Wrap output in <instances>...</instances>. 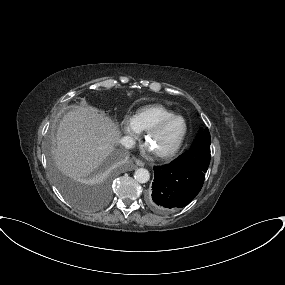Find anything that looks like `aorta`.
Masks as SVG:
<instances>
[{
	"mask_svg": "<svg viewBox=\"0 0 285 285\" xmlns=\"http://www.w3.org/2000/svg\"><path fill=\"white\" fill-rule=\"evenodd\" d=\"M134 177L137 182L146 183L150 179V173L145 168H139L135 171Z\"/></svg>",
	"mask_w": 285,
	"mask_h": 285,
	"instance_id": "762f6f07",
	"label": "aorta"
}]
</instances>
